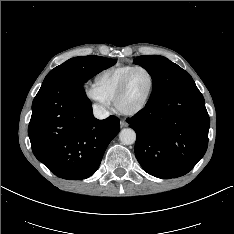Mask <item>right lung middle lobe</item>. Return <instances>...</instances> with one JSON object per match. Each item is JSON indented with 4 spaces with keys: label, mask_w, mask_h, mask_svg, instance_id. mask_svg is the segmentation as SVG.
Returning a JSON list of instances; mask_svg holds the SVG:
<instances>
[{
    "label": "right lung middle lobe",
    "mask_w": 234,
    "mask_h": 234,
    "mask_svg": "<svg viewBox=\"0 0 234 234\" xmlns=\"http://www.w3.org/2000/svg\"><path fill=\"white\" fill-rule=\"evenodd\" d=\"M115 63L116 61L113 59L100 56L75 57L51 70L45 77L44 82L70 75L74 82L83 85L90 76L102 69L113 66Z\"/></svg>",
    "instance_id": "obj_1"
}]
</instances>
